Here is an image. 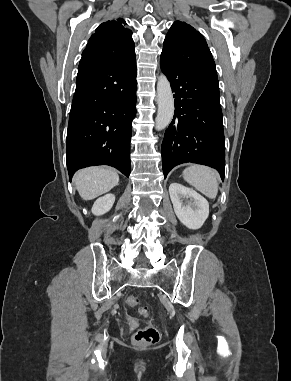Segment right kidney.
<instances>
[{
    "label": "right kidney",
    "mask_w": 291,
    "mask_h": 381,
    "mask_svg": "<svg viewBox=\"0 0 291 381\" xmlns=\"http://www.w3.org/2000/svg\"><path fill=\"white\" fill-rule=\"evenodd\" d=\"M115 202V196L113 194H106L103 197L98 198L92 207V213L96 216L107 213Z\"/></svg>",
    "instance_id": "ca27d5eb"
}]
</instances>
